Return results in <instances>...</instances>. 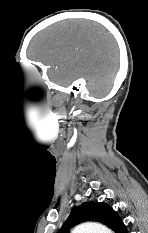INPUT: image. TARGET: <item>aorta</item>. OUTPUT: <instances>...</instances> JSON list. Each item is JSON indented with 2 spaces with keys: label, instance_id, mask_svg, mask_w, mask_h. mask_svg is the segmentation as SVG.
<instances>
[{
  "label": "aorta",
  "instance_id": "1",
  "mask_svg": "<svg viewBox=\"0 0 148 233\" xmlns=\"http://www.w3.org/2000/svg\"><path fill=\"white\" fill-rule=\"evenodd\" d=\"M71 233H112L106 226L95 223L85 222L77 225Z\"/></svg>",
  "mask_w": 148,
  "mask_h": 233
}]
</instances>
